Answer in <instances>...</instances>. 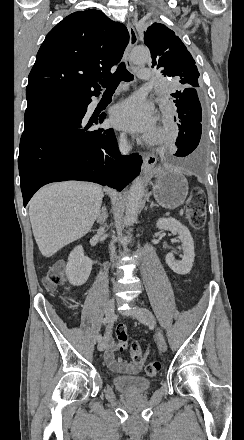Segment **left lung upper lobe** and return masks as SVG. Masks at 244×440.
I'll use <instances>...</instances> for the list:
<instances>
[{
	"instance_id": "obj_1",
	"label": "left lung upper lobe",
	"mask_w": 244,
	"mask_h": 440,
	"mask_svg": "<svg viewBox=\"0 0 244 440\" xmlns=\"http://www.w3.org/2000/svg\"><path fill=\"white\" fill-rule=\"evenodd\" d=\"M144 43L151 52L152 67L164 77L199 87V72L186 46L175 33L161 23H153L144 33Z\"/></svg>"
}]
</instances>
